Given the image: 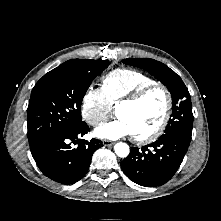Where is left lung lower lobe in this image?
<instances>
[{"mask_svg": "<svg viewBox=\"0 0 221 221\" xmlns=\"http://www.w3.org/2000/svg\"><path fill=\"white\" fill-rule=\"evenodd\" d=\"M190 141L177 136H161L157 141L138 149L121 162V168L133 182L155 187L168 182L178 170Z\"/></svg>", "mask_w": 221, "mask_h": 221, "instance_id": "obj_1", "label": "left lung lower lobe"}]
</instances>
